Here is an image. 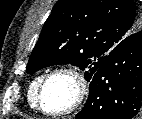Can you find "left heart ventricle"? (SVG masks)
Listing matches in <instances>:
<instances>
[{
    "mask_svg": "<svg viewBox=\"0 0 142 119\" xmlns=\"http://www.w3.org/2000/svg\"><path fill=\"white\" fill-rule=\"evenodd\" d=\"M76 93L74 80L67 75L51 78L42 95L43 107L50 111H60L71 105Z\"/></svg>",
    "mask_w": 142,
    "mask_h": 119,
    "instance_id": "obj_1",
    "label": "left heart ventricle"
}]
</instances>
